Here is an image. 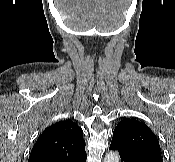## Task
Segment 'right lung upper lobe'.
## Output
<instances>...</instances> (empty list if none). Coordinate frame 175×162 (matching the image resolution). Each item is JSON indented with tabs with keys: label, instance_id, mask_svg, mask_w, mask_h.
I'll return each mask as SVG.
<instances>
[{
	"label": "right lung upper lobe",
	"instance_id": "obj_1",
	"mask_svg": "<svg viewBox=\"0 0 175 162\" xmlns=\"http://www.w3.org/2000/svg\"><path fill=\"white\" fill-rule=\"evenodd\" d=\"M85 153L82 129L73 121L64 120L42 132L33 146L28 162L75 160Z\"/></svg>",
	"mask_w": 175,
	"mask_h": 162
}]
</instances>
